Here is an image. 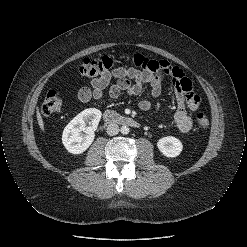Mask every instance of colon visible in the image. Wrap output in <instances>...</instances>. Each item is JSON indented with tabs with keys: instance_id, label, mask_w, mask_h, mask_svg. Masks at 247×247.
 Wrapping results in <instances>:
<instances>
[{
	"instance_id": "colon-1",
	"label": "colon",
	"mask_w": 247,
	"mask_h": 247,
	"mask_svg": "<svg viewBox=\"0 0 247 247\" xmlns=\"http://www.w3.org/2000/svg\"><path fill=\"white\" fill-rule=\"evenodd\" d=\"M118 63L115 57L103 56L98 59H86L80 67V73L89 78H95L106 74ZM62 107V99L55 91H48L41 105L43 116H50L57 113ZM196 124L200 129H206L209 126L208 116L200 112L196 115Z\"/></svg>"
}]
</instances>
